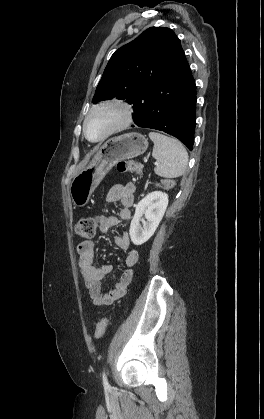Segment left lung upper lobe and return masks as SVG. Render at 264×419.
Masks as SVG:
<instances>
[{
	"mask_svg": "<svg viewBox=\"0 0 264 419\" xmlns=\"http://www.w3.org/2000/svg\"><path fill=\"white\" fill-rule=\"evenodd\" d=\"M181 51L171 29L148 28L112 55L92 102L117 98L126 99L134 109L141 106L150 86L170 77Z\"/></svg>",
	"mask_w": 264,
	"mask_h": 419,
	"instance_id": "left-lung-upper-lobe-1",
	"label": "left lung upper lobe"
}]
</instances>
